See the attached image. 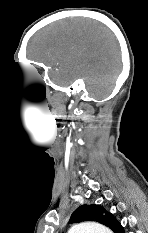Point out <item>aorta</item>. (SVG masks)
Masks as SVG:
<instances>
[{
	"mask_svg": "<svg viewBox=\"0 0 148 233\" xmlns=\"http://www.w3.org/2000/svg\"><path fill=\"white\" fill-rule=\"evenodd\" d=\"M68 233H112L107 227L95 222L73 225Z\"/></svg>",
	"mask_w": 148,
	"mask_h": 233,
	"instance_id": "aorta-1",
	"label": "aorta"
}]
</instances>
